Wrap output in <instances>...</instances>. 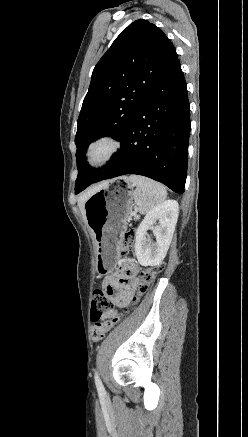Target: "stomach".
Segmentation results:
<instances>
[{
	"label": "stomach",
	"mask_w": 248,
	"mask_h": 437,
	"mask_svg": "<svg viewBox=\"0 0 248 437\" xmlns=\"http://www.w3.org/2000/svg\"><path fill=\"white\" fill-rule=\"evenodd\" d=\"M120 181L127 184L121 187ZM133 192L127 177L108 182L84 203L85 219L96 249L100 274L113 271L121 236L130 216Z\"/></svg>",
	"instance_id": "stomach-1"
}]
</instances>
